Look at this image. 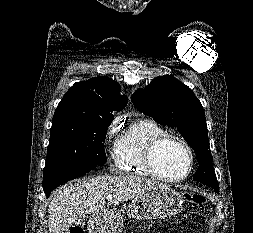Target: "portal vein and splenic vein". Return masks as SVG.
Listing matches in <instances>:
<instances>
[{
	"instance_id": "1",
	"label": "portal vein and splenic vein",
	"mask_w": 253,
	"mask_h": 233,
	"mask_svg": "<svg viewBox=\"0 0 253 233\" xmlns=\"http://www.w3.org/2000/svg\"><path fill=\"white\" fill-rule=\"evenodd\" d=\"M106 199L109 200V201H111L113 199V196L112 195H107Z\"/></svg>"
}]
</instances>
